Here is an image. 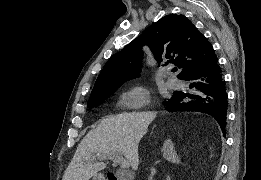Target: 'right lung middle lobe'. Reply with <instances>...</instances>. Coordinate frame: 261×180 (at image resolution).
Segmentation results:
<instances>
[{
	"mask_svg": "<svg viewBox=\"0 0 261 180\" xmlns=\"http://www.w3.org/2000/svg\"><path fill=\"white\" fill-rule=\"evenodd\" d=\"M111 94L112 93L107 94V95H103V96H98V97H95V98H91V99H89L87 106L89 108L96 107V106L100 105L101 103H103L104 100L107 99Z\"/></svg>",
	"mask_w": 261,
	"mask_h": 180,
	"instance_id": "right-lung-middle-lobe-1",
	"label": "right lung middle lobe"
}]
</instances>
